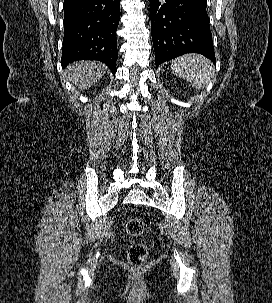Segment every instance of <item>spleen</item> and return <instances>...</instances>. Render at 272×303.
Segmentation results:
<instances>
[{"mask_svg": "<svg viewBox=\"0 0 272 303\" xmlns=\"http://www.w3.org/2000/svg\"><path fill=\"white\" fill-rule=\"evenodd\" d=\"M172 73L186 79L200 90L205 88L214 77V67L210 60L198 54H186L171 62Z\"/></svg>", "mask_w": 272, "mask_h": 303, "instance_id": "1", "label": "spleen"}]
</instances>
